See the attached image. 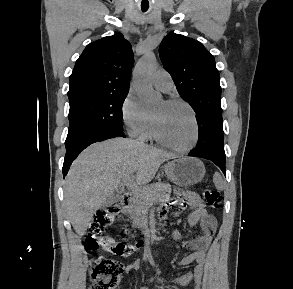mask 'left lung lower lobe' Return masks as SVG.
<instances>
[{
    "label": "left lung lower lobe",
    "mask_w": 293,
    "mask_h": 289,
    "mask_svg": "<svg viewBox=\"0 0 293 289\" xmlns=\"http://www.w3.org/2000/svg\"><path fill=\"white\" fill-rule=\"evenodd\" d=\"M197 123L199 127L198 143L188 156L211 160L226 175L222 121L209 118L197 121Z\"/></svg>",
    "instance_id": "obj_1"
}]
</instances>
